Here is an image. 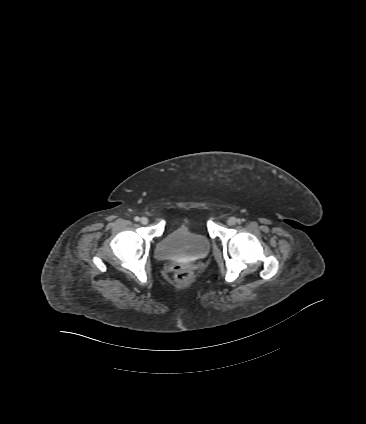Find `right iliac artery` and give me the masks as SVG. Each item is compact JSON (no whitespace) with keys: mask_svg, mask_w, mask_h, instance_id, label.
<instances>
[{"mask_svg":"<svg viewBox=\"0 0 366 424\" xmlns=\"http://www.w3.org/2000/svg\"><path fill=\"white\" fill-rule=\"evenodd\" d=\"M134 220H135V221H139V220H140V218H139L138 216H136V217L134 218Z\"/></svg>","mask_w":366,"mask_h":424,"instance_id":"1","label":"right iliac artery"}]
</instances>
